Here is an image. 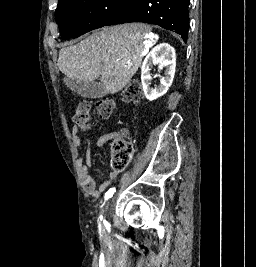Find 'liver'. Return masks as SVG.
Instances as JSON below:
<instances>
[{"instance_id": "6515ba94", "label": "liver", "mask_w": 256, "mask_h": 267, "mask_svg": "<svg viewBox=\"0 0 256 267\" xmlns=\"http://www.w3.org/2000/svg\"><path fill=\"white\" fill-rule=\"evenodd\" d=\"M145 24L105 26L80 44L61 48L58 68L68 78L93 82L100 78L105 92L123 90L141 66Z\"/></svg>"}]
</instances>
